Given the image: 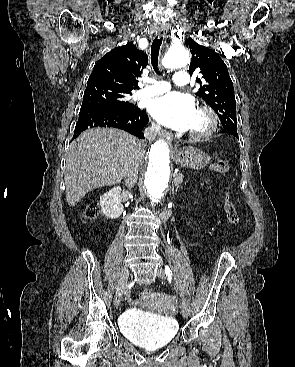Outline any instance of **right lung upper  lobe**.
<instances>
[{
  "label": "right lung upper lobe",
  "mask_w": 295,
  "mask_h": 367,
  "mask_svg": "<svg viewBox=\"0 0 295 367\" xmlns=\"http://www.w3.org/2000/svg\"><path fill=\"white\" fill-rule=\"evenodd\" d=\"M148 64L144 51H139L132 42L117 47L105 54L94 66L86 89L106 88L119 94H131L138 87L136 77Z\"/></svg>",
  "instance_id": "right-lung-upper-lobe-1"
}]
</instances>
